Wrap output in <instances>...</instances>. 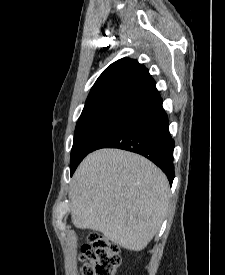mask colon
Listing matches in <instances>:
<instances>
[{
	"instance_id": "5ec220e1",
	"label": "colon",
	"mask_w": 225,
	"mask_h": 275,
	"mask_svg": "<svg viewBox=\"0 0 225 275\" xmlns=\"http://www.w3.org/2000/svg\"><path fill=\"white\" fill-rule=\"evenodd\" d=\"M81 261L82 275H114L121 262L119 247L99 233H90Z\"/></svg>"
}]
</instances>
